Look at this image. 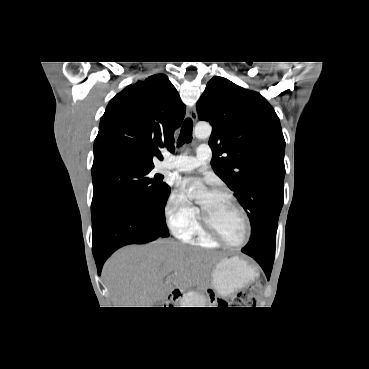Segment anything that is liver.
Returning <instances> with one entry per match:
<instances>
[{
    "label": "liver",
    "instance_id": "6515ba94",
    "mask_svg": "<svg viewBox=\"0 0 369 369\" xmlns=\"http://www.w3.org/2000/svg\"><path fill=\"white\" fill-rule=\"evenodd\" d=\"M217 260L215 253L161 239L121 248L104 265L103 277L115 307H153L173 287L201 282Z\"/></svg>",
    "mask_w": 369,
    "mask_h": 369
}]
</instances>
